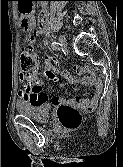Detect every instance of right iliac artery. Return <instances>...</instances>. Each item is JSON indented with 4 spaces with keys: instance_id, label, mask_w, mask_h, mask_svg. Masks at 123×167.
<instances>
[{
    "instance_id": "82829eb1",
    "label": "right iliac artery",
    "mask_w": 123,
    "mask_h": 167,
    "mask_svg": "<svg viewBox=\"0 0 123 167\" xmlns=\"http://www.w3.org/2000/svg\"><path fill=\"white\" fill-rule=\"evenodd\" d=\"M51 48L53 50H59L60 49V44L58 42H52L51 43Z\"/></svg>"
}]
</instances>
